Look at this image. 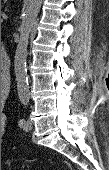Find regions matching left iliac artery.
I'll return each mask as SVG.
<instances>
[{
	"label": "left iliac artery",
	"mask_w": 109,
	"mask_h": 170,
	"mask_svg": "<svg viewBox=\"0 0 109 170\" xmlns=\"http://www.w3.org/2000/svg\"><path fill=\"white\" fill-rule=\"evenodd\" d=\"M24 123H25V120L24 119H20L19 122H18V125L20 127H22L24 125Z\"/></svg>",
	"instance_id": "1"
}]
</instances>
